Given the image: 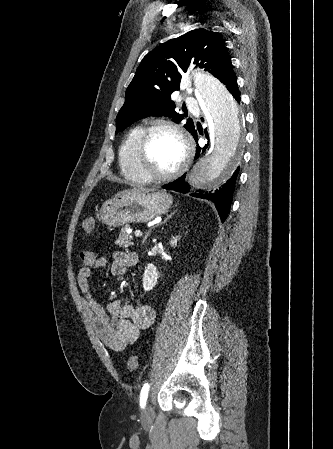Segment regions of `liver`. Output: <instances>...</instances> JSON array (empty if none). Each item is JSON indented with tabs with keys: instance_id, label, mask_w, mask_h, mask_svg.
I'll return each mask as SVG.
<instances>
[{
	"instance_id": "6515ba94",
	"label": "liver",
	"mask_w": 333,
	"mask_h": 449,
	"mask_svg": "<svg viewBox=\"0 0 333 449\" xmlns=\"http://www.w3.org/2000/svg\"><path fill=\"white\" fill-rule=\"evenodd\" d=\"M132 191H134V190H132ZM125 192H126V191H125ZM125 192H119V193L116 194V196H120V195H122V194L125 193Z\"/></svg>"
}]
</instances>
